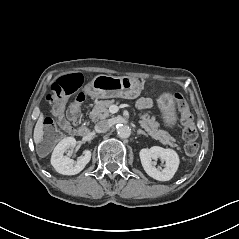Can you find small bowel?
Masks as SVG:
<instances>
[{"label":"small bowel","mask_w":239,"mask_h":239,"mask_svg":"<svg viewBox=\"0 0 239 239\" xmlns=\"http://www.w3.org/2000/svg\"><path fill=\"white\" fill-rule=\"evenodd\" d=\"M137 107L140 110H148L152 107V100L149 98H140L137 101Z\"/></svg>","instance_id":"c3829d8e"}]
</instances>
